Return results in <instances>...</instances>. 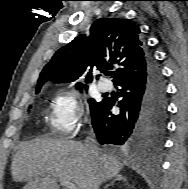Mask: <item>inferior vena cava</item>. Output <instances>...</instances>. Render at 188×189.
I'll return each mask as SVG.
<instances>
[{
  "mask_svg": "<svg viewBox=\"0 0 188 189\" xmlns=\"http://www.w3.org/2000/svg\"><path fill=\"white\" fill-rule=\"evenodd\" d=\"M85 142H86L85 146L89 150V153L92 156H98L100 150L97 146V142L93 138H90V137H87Z\"/></svg>",
  "mask_w": 188,
  "mask_h": 189,
  "instance_id": "1",
  "label": "inferior vena cava"
}]
</instances>
